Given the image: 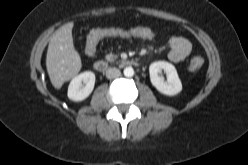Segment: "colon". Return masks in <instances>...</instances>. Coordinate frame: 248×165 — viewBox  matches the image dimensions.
Wrapping results in <instances>:
<instances>
[{"mask_svg":"<svg viewBox=\"0 0 248 165\" xmlns=\"http://www.w3.org/2000/svg\"><path fill=\"white\" fill-rule=\"evenodd\" d=\"M142 35H152L153 33L148 30L139 31ZM126 32L120 28H100L95 29L89 34V39L86 42V53L91 56L95 53L98 43L107 37H118L125 35ZM203 66V59L201 57H194L189 63V69L191 71H197Z\"/></svg>","mask_w":248,"mask_h":165,"instance_id":"colon-1","label":"colon"}]
</instances>
